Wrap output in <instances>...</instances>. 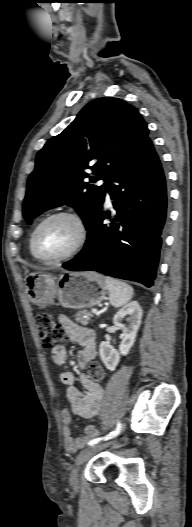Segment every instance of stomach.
Returning <instances> with one entry per match:
<instances>
[{
    "mask_svg": "<svg viewBox=\"0 0 192 527\" xmlns=\"http://www.w3.org/2000/svg\"><path fill=\"white\" fill-rule=\"evenodd\" d=\"M26 288L32 303L41 309L57 304L83 309L101 303L106 295L103 277L93 271L65 272L59 277L32 273L26 278Z\"/></svg>",
    "mask_w": 192,
    "mask_h": 527,
    "instance_id": "obj_1",
    "label": "stomach"
}]
</instances>
